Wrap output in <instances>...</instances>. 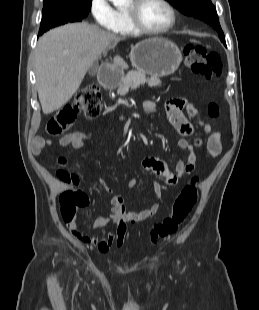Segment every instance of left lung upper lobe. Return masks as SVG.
<instances>
[{
	"instance_id": "5c2ea615",
	"label": "left lung upper lobe",
	"mask_w": 259,
	"mask_h": 310,
	"mask_svg": "<svg viewBox=\"0 0 259 310\" xmlns=\"http://www.w3.org/2000/svg\"><path fill=\"white\" fill-rule=\"evenodd\" d=\"M175 8L185 15L193 16L207 22L219 34L220 38H224L221 29L216 8L210 0H167Z\"/></svg>"
}]
</instances>
